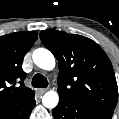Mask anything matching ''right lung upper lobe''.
I'll return each instance as SVG.
<instances>
[{"instance_id":"right-lung-upper-lobe-1","label":"right lung upper lobe","mask_w":119,"mask_h":119,"mask_svg":"<svg viewBox=\"0 0 119 119\" xmlns=\"http://www.w3.org/2000/svg\"><path fill=\"white\" fill-rule=\"evenodd\" d=\"M36 40L34 31L0 36V107L34 94L24 85L26 73L22 70V61Z\"/></svg>"}]
</instances>
